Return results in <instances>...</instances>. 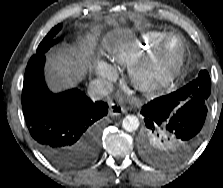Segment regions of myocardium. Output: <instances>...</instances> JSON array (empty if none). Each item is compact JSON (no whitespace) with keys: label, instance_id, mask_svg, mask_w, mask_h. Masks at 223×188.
I'll list each match as a JSON object with an SVG mask.
<instances>
[{"label":"myocardium","instance_id":"myocardium-1","mask_svg":"<svg viewBox=\"0 0 223 188\" xmlns=\"http://www.w3.org/2000/svg\"><path fill=\"white\" fill-rule=\"evenodd\" d=\"M172 39L178 40L179 53L176 59L167 65V46ZM186 53L184 38L177 33H168L153 52L132 67L130 78L134 87L143 93L153 94L172 84L182 72Z\"/></svg>","mask_w":223,"mask_h":188}]
</instances>
